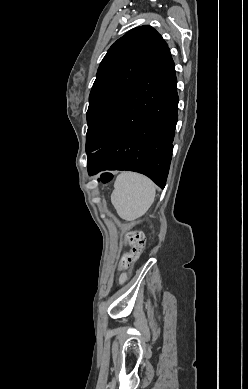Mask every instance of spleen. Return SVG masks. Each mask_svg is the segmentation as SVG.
<instances>
[{"mask_svg": "<svg viewBox=\"0 0 248 389\" xmlns=\"http://www.w3.org/2000/svg\"><path fill=\"white\" fill-rule=\"evenodd\" d=\"M111 202L119 216L125 220H135L152 205L156 187L146 176L123 172L116 178Z\"/></svg>", "mask_w": 248, "mask_h": 389, "instance_id": "3e777b00", "label": "spleen"}]
</instances>
